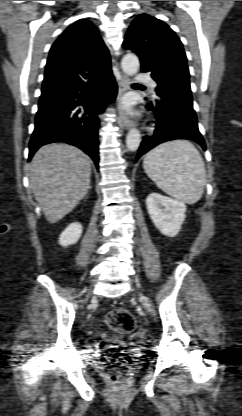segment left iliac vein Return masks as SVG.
<instances>
[{"mask_svg":"<svg viewBox=\"0 0 242 416\" xmlns=\"http://www.w3.org/2000/svg\"><path fill=\"white\" fill-rule=\"evenodd\" d=\"M141 301H142L143 305L145 306V308L147 309V311L152 313L153 309H152V306H151V303L149 302V300L145 296L141 295Z\"/></svg>","mask_w":242,"mask_h":416,"instance_id":"1","label":"left iliac vein"}]
</instances>
